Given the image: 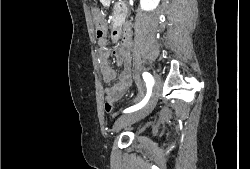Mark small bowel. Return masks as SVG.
Segmentation results:
<instances>
[{
  "mask_svg": "<svg viewBox=\"0 0 250 169\" xmlns=\"http://www.w3.org/2000/svg\"><path fill=\"white\" fill-rule=\"evenodd\" d=\"M114 17L116 21H120L123 14L119 10H116ZM100 43L104 45L105 40L101 38ZM111 56H114L118 66L121 67V72L118 81L106 89L105 95H118L119 100L124 96L131 85L130 38L127 33L122 39L119 48L110 50L103 46L98 52L100 71L105 83H111L116 77V72L109 63Z\"/></svg>",
  "mask_w": 250,
  "mask_h": 169,
  "instance_id": "c3829d8e",
  "label": "small bowel"
}]
</instances>
